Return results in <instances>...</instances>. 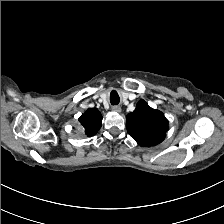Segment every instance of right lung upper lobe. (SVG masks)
<instances>
[{"label":"right lung upper lobe","mask_w":224,"mask_h":224,"mask_svg":"<svg viewBox=\"0 0 224 224\" xmlns=\"http://www.w3.org/2000/svg\"><path fill=\"white\" fill-rule=\"evenodd\" d=\"M101 121L102 115L96 108H88L79 118V122L83 126L84 132L88 137L97 133L101 127Z\"/></svg>","instance_id":"1"}]
</instances>
